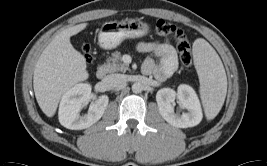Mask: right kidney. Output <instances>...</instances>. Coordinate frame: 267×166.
I'll list each match as a JSON object with an SVG mask.
<instances>
[{"label": "right kidney", "instance_id": "obj_1", "mask_svg": "<svg viewBox=\"0 0 267 166\" xmlns=\"http://www.w3.org/2000/svg\"><path fill=\"white\" fill-rule=\"evenodd\" d=\"M95 96L91 85L79 83L70 88L62 97L59 106V122L71 130H82L96 123L104 114L108 105V96H101L92 101L87 114L80 116V111Z\"/></svg>", "mask_w": 267, "mask_h": 166}]
</instances>
